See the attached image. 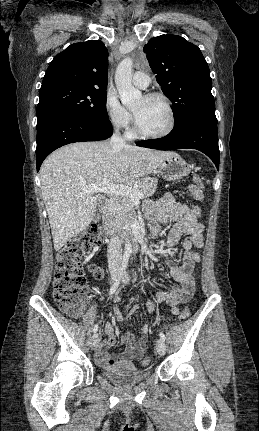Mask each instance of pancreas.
<instances>
[{
  "instance_id": "obj_1",
  "label": "pancreas",
  "mask_w": 259,
  "mask_h": 431,
  "mask_svg": "<svg viewBox=\"0 0 259 431\" xmlns=\"http://www.w3.org/2000/svg\"><path fill=\"white\" fill-rule=\"evenodd\" d=\"M158 180L156 178H143L133 184V188L144 193V198L152 196L157 188ZM116 222L121 230H126L135 217V209L131 198L122 197L119 199L115 212Z\"/></svg>"
}]
</instances>
